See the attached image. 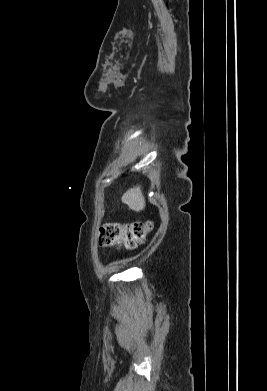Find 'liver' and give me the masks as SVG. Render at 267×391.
Returning <instances> with one entry per match:
<instances>
[{"mask_svg": "<svg viewBox=\"0 0 267 391\" xmlns=\"http://www.w3.org/2000/svg\"><path fill=\"white\" fill-rule=\"evenodd\" d=\"M122 202L127 204L130 209L136 212L144 210L145 198L140 186H136L126 191L122 196Z\"/></svg>", "mask_w": 267, "mask_h": 391, "instance_id": "obj_1", "label": "liver"}]
</instances>
